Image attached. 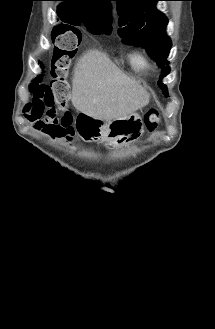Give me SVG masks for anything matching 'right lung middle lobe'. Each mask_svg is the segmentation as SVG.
Instances as JSON below:
<instances>
[{
	"label": "right lung middle lobe",
	"instance_id": "obj_1",
	"mask_svg": "<svg viewBox=\"0 0 215 329\" xmlns=\"http://www.w3.org/2000/svg\"><path fill=\"white\" fill-rule=\"evenodd\" d=\"M64 22V21H63ZM67 23V22H65ZM80 23H84L85 26L88 28V30L94 34H99V33H105L107 35H109L110 33L109 32H103L102 30L98 29L97 27L95 26H92L91 24H87L84 22V20L80 17H75V18H71L69 21H68V24H72V25H79ZM67 29H71L72 31H74V28L73 27H70L68 26Z\"/></svg>",
	"mask_w": 215,
	"mask_h": 329
}]
</instances>
